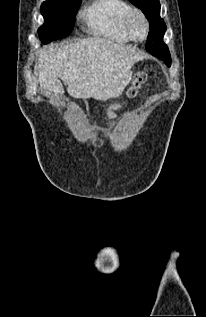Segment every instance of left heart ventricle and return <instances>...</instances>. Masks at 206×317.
I'll return each instance as SVG.
<instances>
[{"instance_id": "b2bd125f", "label": "left heart ventricle", "mask_w": 206, "mask_h": 317, "mask_svg": "<svg viewBox=\"0 0 206 317\" xmlns=\"http://www.w3.org/2000/svg\"><path fill=\"white\" fill-rule=\"evenodd\" d=\"M131 27L133 30V33L138 38H143L145 35V25L142 19L139 16H135L132 19Z\"/></svg>"}]
</instances>
